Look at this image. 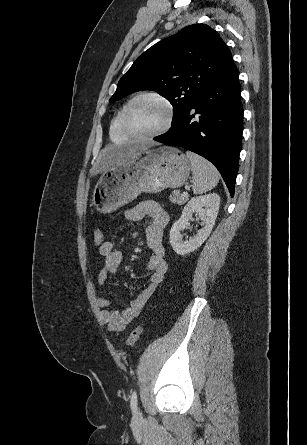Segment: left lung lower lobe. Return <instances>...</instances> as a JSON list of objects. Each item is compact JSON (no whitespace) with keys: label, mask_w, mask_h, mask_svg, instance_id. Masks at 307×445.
<instances>
[{"label":"left lung lower lobe","mask_w":307,"mask_h":445,"mask_svg":"<svg viewBox=\"0 0 307 445\" xmlns=\"http://www.w3.org/2000/svg\"><path fill=\"white\" fill-rule=\"evenodd\" d=\"M238 71L233 63L210 85L165 134L154 140L195 152L221 173L231 197L239 167L243 131ZM195 109V114L191 110ZM192 118H196L192 122Z\"/></svg>","instance_id":"0a47b994"}]
</instances>
